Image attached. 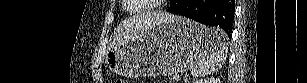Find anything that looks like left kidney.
Here are the masks:
<instances>
[{"instance_id": "obj_1", "label": "left kidney", "mask_w": 307, "mask_h": 83, "mask_svg": "<svg viewBox=\"0 0 307 83\" xmlns=\"http://www.w3.org/2000/svg\"><path fill=\"white\" fill-rule=\"evenodd\" d=\"M195 83H220V80L218 78H207V79H201L197 80Z\"/></svg>"}]
</instances>
